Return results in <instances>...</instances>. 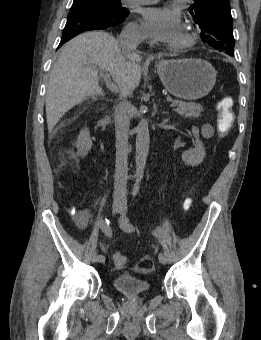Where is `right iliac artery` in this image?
I'll list each match as a JSON object with an SVG mask.
<instances>
[{
    "label": "right iliac artery",
    "mask_w": 261,
    "mask_h": 340,
    "mask_svg": "<svg viewBox=\"0 0 261 340\" xmlns=\"http://www.w3.org/2000/svg\"><path fill=\"white\" fill-rule=\"evenodd\" d=\"M100 227H101L102 232L107 237L111 238L112 230H111V227H110V221L107 218H105V219L100 221ZM97 260H98L99 263L104 264L105 261H106V258H105V256L103 254H100V255H98Z\"/></svg>",
    "instance_id": "82829eb1"
}]
</instances>
